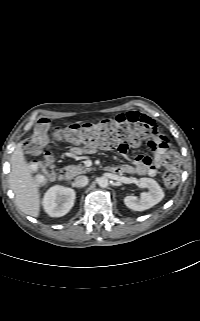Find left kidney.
<instances>
[{
    "mask_svg": "<svg viewBox=\"0 0 200 321\" xmlns=\"http://www.w3.org/2000/svg\"><path fill=\"white\" fill-rule=\"evenodd\" d=\"M137 185L147 188L148 192H143L141 198L126 196L125 205L134 211H144L158 204L164 198V192L159 184L152 178H140Z\"/></svg>",
    "mask_w": 200,
    "mask_h": 321,
    "instance_id": "obj_1",
    "label": "left kidney"
}]
</instances>
